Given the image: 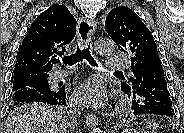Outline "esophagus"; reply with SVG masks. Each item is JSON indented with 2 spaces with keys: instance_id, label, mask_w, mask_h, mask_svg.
Returning a JSON list of instances; mask_svg holds the SVG:
<instances>
[{
  "instance_id": "1",
  "label": "esophagus",
  "mask_w": 184,
  "mask_h": 133,
  "mask_svg": "<svg viewBox=\"0 0 184 133\" xmlns=\"http://www.w3.org/2000/svg\"><path fill=\"white\" fill-rule=\"evenodd\" d=\"M96 22L93 19L81 18L77 27V39L80 45H85L95 33ZM86 123L89 127L97 126L98 119L93 114L86 115Z\"/></svg>"
}]
</instances>
